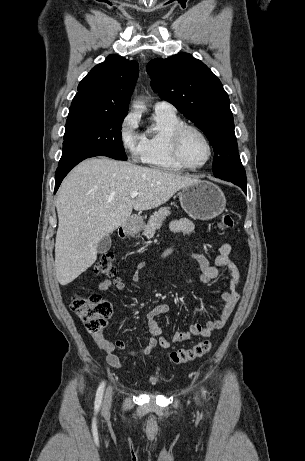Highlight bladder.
Listing matches in <instances>:
<instances>
[{
	"label": "bladder",
	"instance_id": "obj_1",
	"mask_svg": "<svg viewBox=\"0 0 305 461\" xmlns=\"http://www.w3.org/2000/svg\"><path fill=\"white\" fill-rule=\"evenodd\" d=\"M160 381H161V378H159V377H154V378L151 379L150 382H151L152 384H158V383H160Z\"/></svg>",
	"mask_w": 305,
	"mask_h": 461
}]
</instances>
